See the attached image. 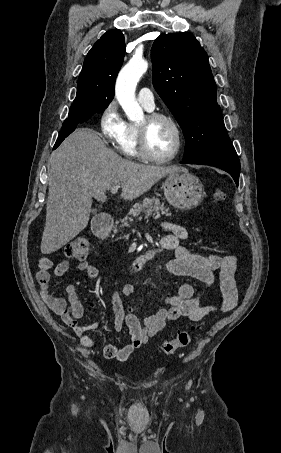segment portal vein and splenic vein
Masks as SVG:
<instances>
[{"mask_svg":"<svg viewBox=\"0 0 281 453\" xmlns=\"http://www.w3.org/2000/svg\"><path fill=\"white\" fill-rule=\"evenodd\" d=\"M118 188H120V184H115V186H111L110 192H112V194H115V192H118Z\"/></svg>","mask_w":281,"mask_h":453,"instance_id":"portal-vein-and-splenic-vein-1","label":"portal vein and splenic vein"}]
</instances>
